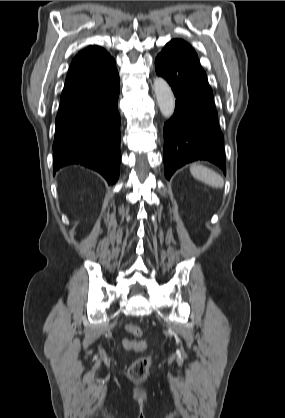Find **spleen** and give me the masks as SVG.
Segmentation results:
<instances>
[{
	"instance_id": "1",
	"label": "spleen",
	"mask_w": 285,
	"mask_h": 418,
	"mask_svg": "<svg viewBox=\"0 0 285 418\" xmlns=\"http://www.w3.org/2000/svg\"><path fill=\"white\" fill-rule=\"evenodd\" d=\"M190 172L194 178L213 188H223L224 186L223 178L208 167L199 164H192L190 166Z\"/></svg>"
}]
</instances>
